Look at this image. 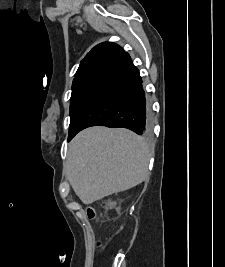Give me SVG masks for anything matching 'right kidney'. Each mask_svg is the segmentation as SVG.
<instances>
[{"mask_svg": "<svg viewBox=\"0 0 225 267\" xmlns=\"http://www.w3.org/2000/svg\"><path fill=\"white\" fill-rule=\"evenodd\" d=\"M115 205H116V203H115V202H110L108 206H109L110 208H113V207H115ZM116 210H118V211H119V210H120V208H116Z\"/></svg>", "mask_w": 225, "mask_h": 267, "instance_id": "right-kidney-1", "label": "right kidney"}]
</instances>
